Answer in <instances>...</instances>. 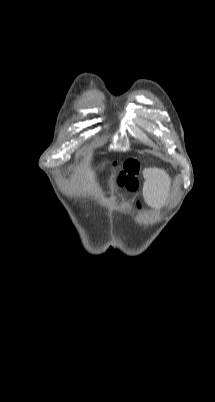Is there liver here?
I'll list each match as a JSON object with an SVG mask.
<instances>
[{"mask_svg": "<svg viewBox=\"0 0 215 402\" xmlns=\"http://www.w3.org/2000/svg\"><path fill=\"white\" fill-rule=\"evenodd\" d=\"M89 180H90V186H92V184H93V182H94V180H93V176H92V175H90Z\"/></svg>", "mask_w": 215, "mask_h": 402, "instance_id": "6515ba94", "label": "liver"}]
</instances>
